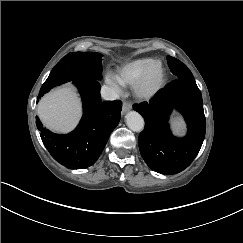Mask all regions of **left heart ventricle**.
Wrapping results in <instances>:
<instances>
[{
    "instance_id": "b2bd125f",
    "label": "left heart ventricle",
    "mask_w": 243,
    "mask_h": 243,
    "mask_svg": "<svg viewBox=\"0 0 243 243\" xmlns=\"http://www.w3.org/2000/svg\"><path fill=\"white\" fill-rule=\"evenodd\" d=\"M160 79V70L158 67L155 68V73L151 81V85L156 84Z\"/></svg>"
}]
</instances>
